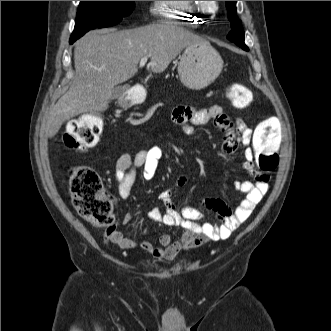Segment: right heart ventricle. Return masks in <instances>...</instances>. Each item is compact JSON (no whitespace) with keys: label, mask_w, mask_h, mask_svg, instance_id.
<instances>
[{"label":"right heart ventricle","mask_w":331,"mask_h":331,"mask_svg":"<svg viewBox=\"0 0 331 331\" xmlns=\"http://www.w3.org/2000/svg\"><path fill=\"white\" fill-rule=\"evenodd\" d=\"M152 12L162 21L195 26V22H200L207 10L201 8L200 1H154Z\"/></svg>","instance_id":"1"}]
</instances>
